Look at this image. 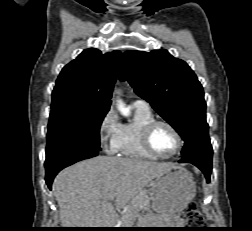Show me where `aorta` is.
I'll return each mask as SVG.
<instances>
[{"label":"aorta","mask_w":252,"mask_h":231,"mask_svg":"<svg viewBox=\"0 0 252 231\" xmlns=\"http://www.w3.org/2000/svg\"><path fill=\"white\" fill-rule=\"evenodd\" d=\"M117 109L123 114L124 116H128L130 114V111L128 108H126L125 104L121 100H117Z\"/></svg>","instance_id":"762f6f07"}]
</instances>
